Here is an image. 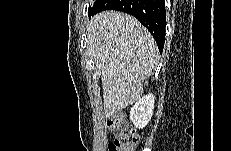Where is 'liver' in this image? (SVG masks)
Instances as JSON below:
<instances>
[{"label":"liver","instance_id":"obj_1","mask_svg":"<svg viewBox=\"0 0 231 151\" xmlns=\"http://www.w3.org/2000/svg\"><path fill=\"white\" fill-rule=\"evenodd\" d=\"M88 53L101 72L106 117L138 101L158 65L149 31L128 14L105 11L87 25Z\"/></svg>","mask_w":231,"mask_h":151}]
</instances>
